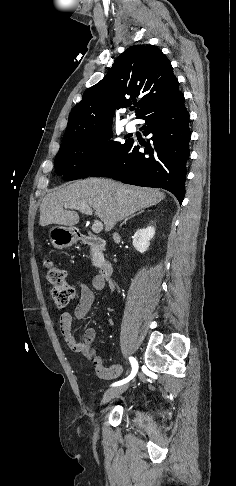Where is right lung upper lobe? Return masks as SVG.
Masks as SVG:
<instances>
[{
	"instance_id": "1",
	"label": "right lung upper lobe",
	"mask_w": 236,
	"mask_h": 486,
	"mask_svg": "<svg viewBox=\"0 0 236 486\" xmlns=\"http://www.w3.org/2000/svg\"><path fill=\"white\" fill-rule=\"evenodd\" d=\"M178 84L160 49L153 45L129 47L72 109L62 144L111 127L115 108L130 106L136 97H141L136 110L139 118L151 105L181 94Z\"/></svg>"
}]
</instances>
